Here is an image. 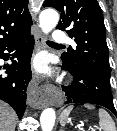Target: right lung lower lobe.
Instances as JSON below:
<instances>
[{
  "label": "right lung lower lobe",
  "instance_id": "1",
  "mask_svg": "<svg viewBox=\"0 0 117 131\" xmlns=\"http://www.w3.org/2000/svg\"><path fill=\"white\" fill-rule=\"evenodd\" d=\"M33 47L34 38L30 32L0 46V59L12 60V64L0 66V99L7 102L20 119L26 108V91L32 76L30 60Z\"/></svg>",
  "mask_w": 117,
  "mask_h": 131
}]
</instances>
